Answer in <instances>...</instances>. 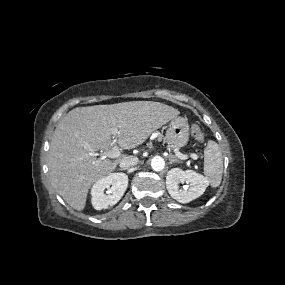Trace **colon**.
I'll use <instances>...</instances> for the list:
<instances>
[{
    "label": "colon",
    "instance_id": "obj_1",
    "mask_svg": "<svg viewBox=\"0 0 285 285\" xmlns=\"http://www.w3.org/2000/svg\"><path fill=\"white\" fill-rule=\"evenodd\" d=\"M191 133L196 139H198L200 141L203 140V138H204L203 130L196 124L192 125Z\"/></svg>",
    "mask_w": 285,
    "mask_h": 285
}]
</instances>
